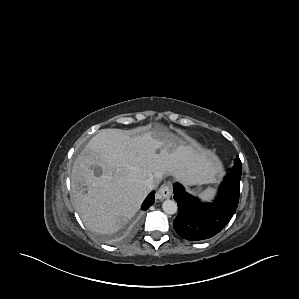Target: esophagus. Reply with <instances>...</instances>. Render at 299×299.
<instances>
[{
  "mask_svg": "<svg viewBox=\"0 0 299 299\" xmlns=\"http://www.w3.org/2000/svg\"><path fill=\"white\" fill-rule=\"evenodd\" d=\"M171 194H172L171 184L170 183H165L157 191L156 199L164 200L166 198H169L171 196Z\"/></svg>",
  "mask_w": 299,
  "mask_h": 299,
  "instance_id": "esophagus-1",
  "label": "esophagus"
}]
</instances>
